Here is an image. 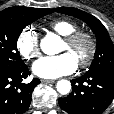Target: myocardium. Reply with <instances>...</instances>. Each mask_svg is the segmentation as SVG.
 <instances>
[{"label": "myocardium", "mask_w": 114, "mask_h": 114, "mask_svg": "<svg viewBox=\"0 0 114 114\" xmlns=\"http://www.w3.org/2000/svg\"><path fill=\"white\" fill-rule=\"evenodd\" d=\"M64 42L69 50H75L81 43H85L87 45L86 53L77 61L79 65L87 66L94 59L97 50V42L90 33L76 30L65 36Z\"/></svg>", "instance_id": "obj_1"}]
</instances>
